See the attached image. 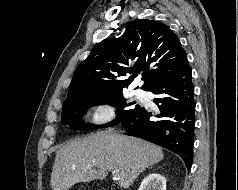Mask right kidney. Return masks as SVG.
I'll return each instance as SVG.
<instances>
[{"label":"right kidney","instance_id":"obj_1","mask_svg":"<svg viewBox=\"0 0 238 190\" xmlns=\"http://www.w3.org/2000/svg\"><path fill=\"white\" fill-rule=\"evenodd\" d=\"M138 190H166V179L157 173L149 174L143 179Z\"/></svg>","mask_w":238,"mask_h":190}]
</instances>
